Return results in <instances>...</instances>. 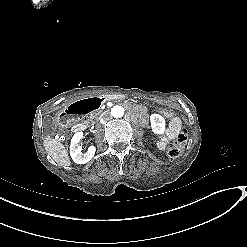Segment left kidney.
I'll return each instance as SVG.
<instances>
[{
    "label": "left kidney",
    "mask_w": 247,
    "mask_h": 247,
    "mask_svg": "<svg viewBox=\"0 0 247 247\" xmlns=\"http://www.w3.org/2000/svg\"><path fill=\"white\" fill-rule=\"evenodd\" d=\"M152 116H153V121L156 120L158 123L161 122V121L163 120L162 117H160V116H158V115H156V114H153ZM162 124H163V123H162ZM152 130H153V132L156 133V134H162V133H164V131H165V126H161V129H157L156 127H154V126L152 125Z\"/></svg>",
    "instance_id": "1"
}]
</instances>
